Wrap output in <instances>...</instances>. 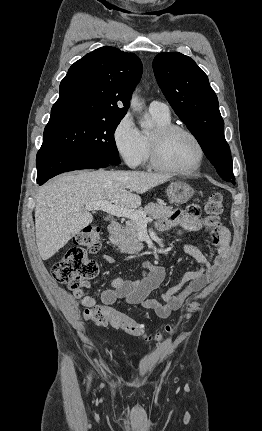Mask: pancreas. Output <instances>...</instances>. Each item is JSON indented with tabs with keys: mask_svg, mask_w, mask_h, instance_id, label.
Wrapping results in <instances>:
<instances>
[{
	"mask_svg": "<svg viewBox=\"0 0 262 431\" xmlns=\"http://www.w3.org/2000/svg\"><path fill=\"white\" fill-rule=\"evenodd\" d=\"M172 207L160 204L149 203L144 209L140 210L150 218L162 219L171 213ZM139 224L135 220H128L112 238V244L118 246L122 253H135L143 248V244L138 240Z\"/></svg>",
	"mask_w": 262,
	"mask_h": 431,
	"instance_id": "1",
	"label": "pancreas"
}]
</instances>
